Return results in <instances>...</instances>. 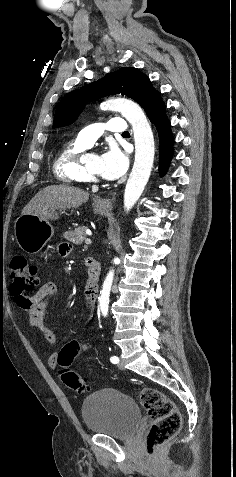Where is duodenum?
<instances>
[{
	"instance_id": "410a0bca",
	"label": "duodenum",
	"mask_w": 236,
	"mask_h": 477,
	"mask_svg": "<svg viewBox=\"0 0 236 477\" xmlns=\"http://www.w3.org/2000/svg\"><path fill=\"white\" fill-rule=\"evenodd\" d=\"M86 265H87V274H86L87 284L96 291L98 286L99 275H100L99 262L94 258L88 257L86 259Z\"/></svg>"
}]
</instances>
